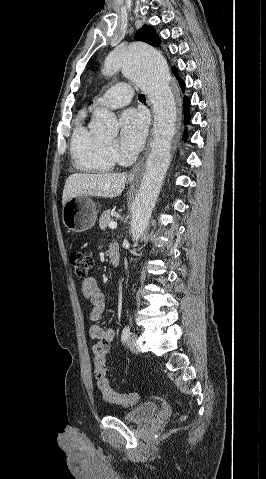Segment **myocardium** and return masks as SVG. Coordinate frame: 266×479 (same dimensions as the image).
<instances>
[{
    "label": "myocardium",
    "mask_w": 266,
    "mask_h": 479,
    "mask_svg": "<svg viewBox=\"0 0 266 479\" xmlns=\"http://www.w3.org/2000/svg\"><path fill=\"white\" fill-rule=\"evenodd\" d=\"M106 143H107L108 146L113 144L112 142H109V141H106Z\"/></svg>",
    "instance_id": "1"
}]
</instances>
